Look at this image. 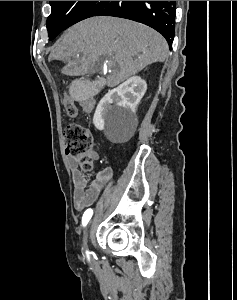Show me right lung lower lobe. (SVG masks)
Masks as SVG:
<instances>
[{"label": "right lung lower lobe", "mask_w": 237, "mask_h": 300, "mask_svg": "<svg viewBox=\"0 0 237 300\" xmlns=\"http://www.w3.org/2000/svg\"><path fill=\"white\" fill-rule=\"evenodd\" d=\"M175 1H105L93 16H115L146 24L160 32L172 48Z\"/></svg>", "instance_id": "1"}]
</instances>
